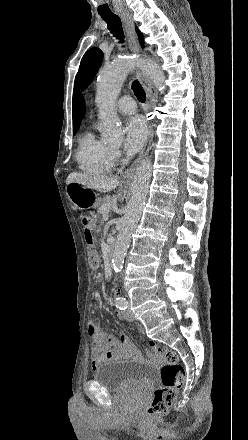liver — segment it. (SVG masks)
<instances>
[{"instance_id":"obj_1","label":"liver","mask_w":248,"mask_h":440,"mask_svg":"<svg viewBox=\"0 0 248 440\" xmlns=\"http://www.w3.org/2000/svg\"><path fill=\"white\" fill-rule=\"evenodd\" d=\"M70 183H79L100 192H109L114 190L118 186L119 179L117 177H107L73 172L70 173L66 179V184L68 185Z\"/></svg>"}]
</instances>
